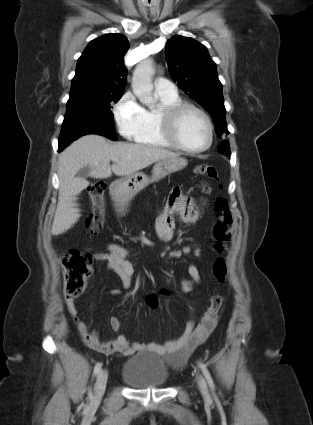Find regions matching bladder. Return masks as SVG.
<instances>
[{"label":"bladder","instance_id":"obj_1","mask_svg":"<svg viewBox=\"0 0 313 425\" xmlns=\"http://www.w3.org/2000/svg\"><path fill=\"white\" fill-rule=\"evenodd\" d=\"M121 379L133 389L161 388L169 381L164 360L152 353H142L125 360Z\"/></svg>","mask_w":313,"mask_h":425}]
</instances>
